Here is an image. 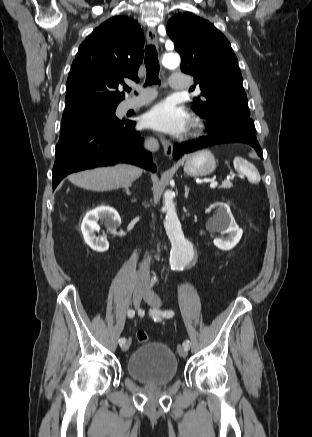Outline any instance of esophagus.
Segmentation results:
<instances>
[{
  "label": "esophagus",
  "instance_id": "34e87169",
  "mask_svg": "<svg viewBox=\"0 0 312 437\" xmlns=\"http://www.w3.org/2000/svg\"><path fill=\"white\" fill-rule=\"evenodd\" d=\"M147 39H148L150 44L155 45L156 47L158 46L157 32H156V29L154 27H151V26L148 27ZM161 143L163 146L164 155L167 157H171L173 154V145L171 144V142L169 140H166V139H161Z\"/></svg>",
  "mask_w": 312,
  "mask_h": 437
}]
</instances>
